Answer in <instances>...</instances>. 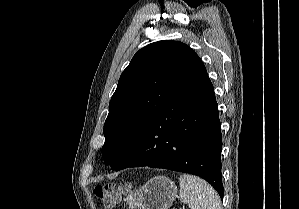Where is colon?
<instances>
[{
  "mask_svg": "<svg viewBox=\"0 0 299 209\" xmlns=\"http://www.w3.org/2000/svg\"><path fill=\"white\" fill-rule=\"evenodd\" d=\"M131 190V186L127 183H105L97 185L93 193L106 207H111L119 203Z\"/></svg>",
  "mask_w": 299,
  "mask_h": 209,
  "instance_id": "5ec220e1",
  "label": "colon"
}]
</instances>
